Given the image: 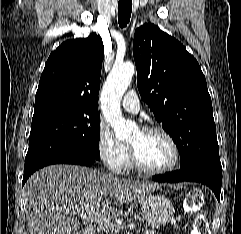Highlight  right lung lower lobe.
<instances>
[{"mask_svg":"<svg viewBox=\"0 0 241 234\" xmlns=\"http://www.w3.org/2000/svg\"><path fill=\"white\" fill-rule=\"evenodd\" d=\"M97 159L71 143L49 140L29 146L22 185L36 170L56 163L91 166Z\"/></svg>","mask_w":241,"mask_h":234,"instance_id":"obj_1","label":"right lung lower lobe"}]
</instances>
